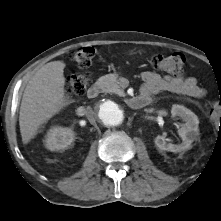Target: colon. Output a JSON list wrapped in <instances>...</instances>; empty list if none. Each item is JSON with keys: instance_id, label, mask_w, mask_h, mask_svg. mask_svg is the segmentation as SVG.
Here are the masks:
<instances>
[{"instance_id": "colon-1", "label": "colon", "mask_w": 221, "mask_h": 221, "mask_svg": "<svg viewBox=\"0 0 221 221\" xmlns=\"http://www.w3.org/2000/svg\"><path fill=\"white\" fill-rule=\"evenodd\" d=\"M95 49L84 47L72 54L74 62L80 68H87L92 64ZM152 68L158 72L178 74L185 66V57L181 53L170 55L156 54L150 59ZM88 74H74L68 78L67 91L73 95L82 94L89 84ZM211 114L221 122V93L215 96L211 103Z\"/></svg>"}]
</instances>
